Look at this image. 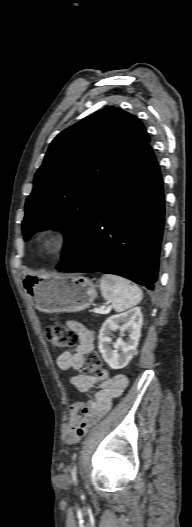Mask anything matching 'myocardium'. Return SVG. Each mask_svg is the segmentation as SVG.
<instances>
[{
  "label": "myocardium",
  "instance_id": "obj_1",
  "mask_svg": "<svg viewBox=\"0 0 192 527\" xmlns=\"http://www.w3.org/2000/svg\"><path fill=\"white\" fill-rule=\"evenodd\" d=\"M68 242V233L62 226H51L41 231L36 240L38 251L45 257L61 253Z\"/></svg>",
  "mask_w": 192,
  "mask_h": 527
}]
</instances>
